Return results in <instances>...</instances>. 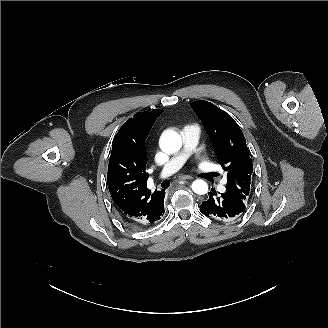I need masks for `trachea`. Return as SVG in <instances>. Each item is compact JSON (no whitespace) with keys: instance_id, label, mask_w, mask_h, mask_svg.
Masks as SVG:
<instances>
[{"instance_id":"3493384b","label":"trachea","mask_w":328,"mask_h":328,"mask_svg":"<svg viewBox=\"0 0 328 328\" xmlns=\"http://www.w3.org/2000/svg\"><path fill=\"white\" fill-rule=\"evenodd\" d=\"M164 182H167V183H169V181H168V180H165Z\"/></svg>"}]
</instances>
